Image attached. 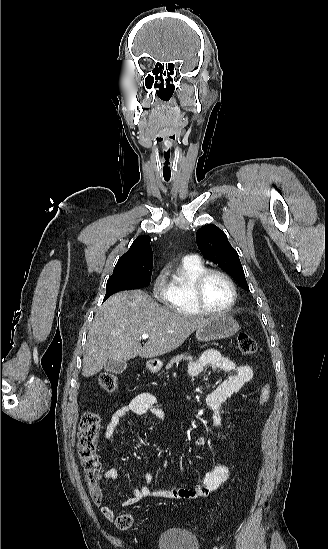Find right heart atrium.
<instances>
[{"mask_svg": "<svg viewBox=\"0 0 328 549\" xmlns=\"http://www.w3.org/2000/svg\"><path fill=\"white\" fill-rule=\"evenodd\" d=\"M166 284V270L164 268L157 269L151 279L150 294L152 297V303H158L165 288Z\"/></svg>", "mask_w": 328, "mask_h": 549, "instance_id": "d8ad5b80", "label": "right heart atrium"}]
</instances>
